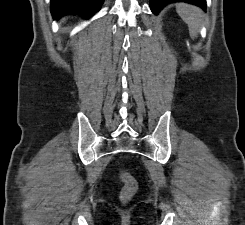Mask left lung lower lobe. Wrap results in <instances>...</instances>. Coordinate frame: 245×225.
Wrapping results in <instances>:
<instances>
[{"label": "left lung lower lobe", "mask_w": 245, "mask_h": 225, "mask_svg": "<svg viewBox=\"0 0 245 225\" xmlns=\"http://www.w3.org/2000/svg\"><path fill=\"white\" fill-rule=\"evenodd\" d=\"M173 2H187L197 5L203 10L206 9V0H150V7L153 13L158 14L164 6Z\"/></svg>", "instance_id": "0a47b994"}]
</instances>
